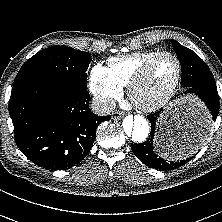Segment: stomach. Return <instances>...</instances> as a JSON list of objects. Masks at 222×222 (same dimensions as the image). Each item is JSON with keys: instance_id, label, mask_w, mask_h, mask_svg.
<instances>
[{"instance_id": "0dacf381", "label": "stomach", "mask_w": 222, "mask_h": 222, "mask_svg": "<svg viewBox=\"0 0 222 222\" xmlns=\"http://www.w3.org/2000/svg\"><path fill=\"white\" fill-rule=\"evenodd\" d=\"M207 118V112L195 98L184 97L175 101L159 120L158 149L173 159L187 156L189 153L177 148V137L193 123L206 121Z\"/></svg>"}]
</instances>
